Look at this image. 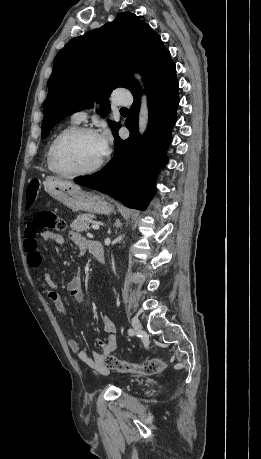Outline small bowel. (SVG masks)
Listing matches in <instances>:
<instances>
[{
  "label": "small bowel",
  "mask_w": 261,
  "mask_h": 459,
  "mask_svg": "<svg viewBox=\"0 0 261 459\" xmlns=\"http://www.w3.org/2000/svg\"><path fill=\"white\" fill-rule=\"evenodd\" d=\"M69 236L70 239L77 245L80 254H84L88 250L91 251L92 242L86 241L80 233L70 232ZM39 239L50 241L57 245H62L65 242V238L61 234H57L51 231H43L41 233L38 232L35 238L25 237L24 248L27 252V263L29 267L35 270L40 267L42 262V254L38 249ZM41 285L55 309L62 314H67L66 305L58 294L57 285L53 281L49 271L45 272ZM67 288L71 296L76 300L80 302L85 300V296L81 288V275L79 272L75 273L71 281L68 283ZM102 326L106 337L105 339L98 341L101 352L95 351L90 356L86 351L80 349L77 340L72 339L68 342L71 351L76 353L78 358L83 363L99 372L105 371V357L117 349V338L115 334L116 327L113 321L109 317L104 316L102 320Z\"/></svg>",
  "instance_id": "1"
}]
</instances>
